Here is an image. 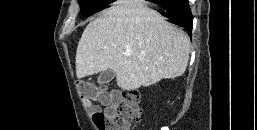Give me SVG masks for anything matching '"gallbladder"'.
Wrapping results in <instances>:
<instances>
[{
    "mask_svg": "<svg viewBox=\"0 0 257 130\" xmlns=\"http://www.w3.org/2000/svg\"><path fill=\"white\" fill-rule=\"evenodd\" d=\"M114 77H115V73L112 70L108 69L99 74L97 78V82L98 84H107L111 82Z\"/></svg>",
    "mask_w": 257,
    "mask_h": 130,
    "instance_id": "gallbladder-1",
    "label": "gallbladder"
}]
</instances>
